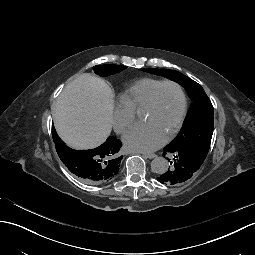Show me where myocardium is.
Listing matches in <instances>:
<instances>
[{
  "instance_id": "1",
  "label": "myocardium",
  "mask_w": 255,
  "mask_h": 255,
  "mask_svg": "<svg viewBox=\"0 0 255 255\" xmlns=\"http://www.w3.org/2000/svg\"><path fill=\"white\" fill-rule=\"evenodd\" d=\"M165 85H172V86L176 87L177 90L179 91L180 97H181V109H180V113H179V117L177 119L176 125H175L174 129L172 130V132L167 136V138H165V142H169L178 134L179 130L182 127L184 117H185V114H186L187 99H186V94H185L184 89L182 88V86L174 80L161 81L151 91L150 96H149L147 102L144 104L142 110L150 109V108L153 107V105L155 103L156 96H157L159 90Z\"/></svg>"
}]
</instances>
